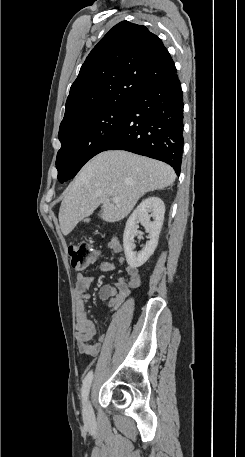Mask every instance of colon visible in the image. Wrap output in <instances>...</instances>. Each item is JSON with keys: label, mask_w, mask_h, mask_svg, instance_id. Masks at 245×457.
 Segmentation results:
<instances>
[{"label": "colon", "mask_w": 245, "mask_h": 457, "mask_svg": "<svg viewBox=\"0 0 245 457\" xmlns=\"http://www.w3.org/2000/svg\"><path fill=\"white\" fill-rule=\"evenodd\" d=\"M68 254L71 265L75 269H83L94 256V251L90 244L79 242L69 245Z\"/></svg>", "instance_id": "colon-1"}]
</instances>
